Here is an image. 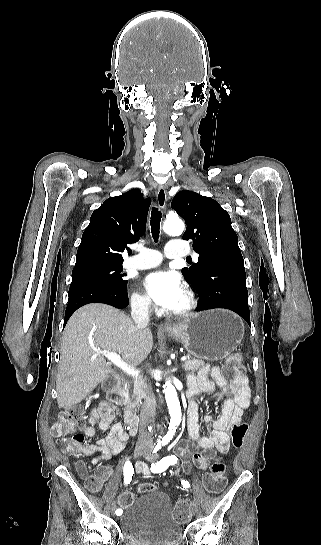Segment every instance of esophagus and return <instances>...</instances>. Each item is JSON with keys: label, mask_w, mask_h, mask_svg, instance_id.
Wrapping results in <instances>:
<instances>
[{"label": "esophagus", "mask_w": 321, "mask_h": 545, "mask_svg": "<svg viewBox=\"0 0 321 545\" xmlns=\"http://www.w3.org/2000/svg\"><path fill=\"white\" fill-rule=\"evenodd\" d=\"M158 206L161 210L165 209L166 200H167V193L166 188L164 186H161L158 188L157 194H156ZM162 329H174L175 326L172 323H164L160 326Z\"/></svg>", "instance_id": "1"}]
</instances>
